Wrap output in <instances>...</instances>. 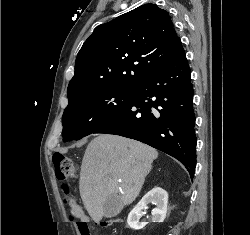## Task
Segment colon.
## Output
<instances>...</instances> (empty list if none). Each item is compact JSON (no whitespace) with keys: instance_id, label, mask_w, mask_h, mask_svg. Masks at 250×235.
Segmentation results:
<instances>
[{"instance_id":"colon-1","label":"colon","mask_w":250,"mask_h":235,"mask_svg":"<svg viewBox=\"0 0 250 235\" xmlns=\"http://www.w3.org/2000/svg\"><path fill=\"white\" fill-rule=\"evenodd\" d=\"M53 164L55 168L56 178L59 181L65 182L76 177L78 172V166L73 159L57 153L53 155ZM64 191L65 201H71L70 193L66 187L64 188ZM77 226L81 235H91L90 225L88 222L80 220L77 222Z\"/></svg>"}]
</instances>
